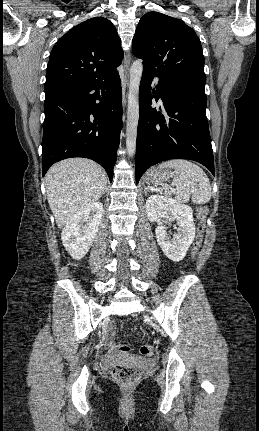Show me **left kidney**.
Instances as JSON below:
<instances>
[{"label": "left kidney", "mask_w": 259, "mask_h": 431, "mask_svg": "<svg viewBox=\"0 0 259 431\" xmlns=\"http://www.w3.org/2000/svg\"><path fill=\"white\" fill-rule=\"evenodd\" d=\"M146 214L151 222L162 218L177 220V233L173 239L167 234L163 223L155 229L156 239L164 254L172 261H181L195 238L193 210L168 196L151 195L146 200Z\"/></svg>", "instance_id": "left-kidney-1"}]
</instances>
